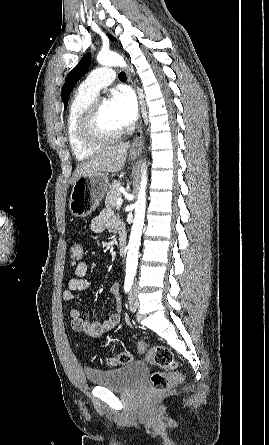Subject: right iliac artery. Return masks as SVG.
Listing matches in <instances>:
<instances>
[{
  "label": "right iliac artery",
  "instance_id": "1",
  "mask_svg": "<svg viewBox=\"0 0 269 445\" xmlns=\"http://www.w3.org/2000/svg\"><path fill=\"white\" fill-rule=\"evenodd\" d=\"M132 284H133V278L132 277H126L125 278V283H124V290H125L126 293L130 291Z\"/></svg>",
  "mask_w": 269,
  "mask_h": 445
}]
</instances>
